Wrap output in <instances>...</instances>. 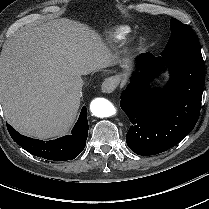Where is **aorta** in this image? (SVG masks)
<instances>
[{
	"mask_svg": "<svg viewBox=\"0 0 209 209\" xmlns=\"http://www.w3.org/2000/svg\"><path fill=\"white\" fill-rule=\"evenodd\" d=\"M91 113L99 118L110 117L116 110L113 104L105 98H95L90 103Z\"/></svg>",
	"mask_w": 209,
	"mask_h": 209,
	"instance_id": "obj_1",
	"label": "aorta"
}]
</instances>
